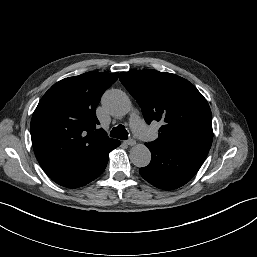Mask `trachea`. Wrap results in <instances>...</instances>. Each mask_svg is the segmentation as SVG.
Returning <instances> with one entry per match:
<instances>
[{
	"label": "trachea",
	"instance_id": "trachea-1",
	"mask_svg": "<svg viewBox=\"0 0 257 257\" xmlns=\"http://www.w3.org/2000/svg\"><path fill=\"white\" fill-rule=\"evenodd\" d=\"M110 136L113 137V138L127 140L128 139V132L126 131V129L123 125H118L117 127H114L111 130Z\"/></svg>",
	"mask_w": 257,
	"mask_h": 257
}]
</instances>
